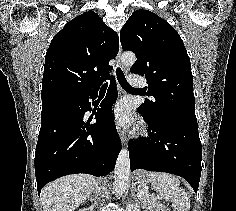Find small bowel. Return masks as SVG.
<instances>
[{
    "label": "small bowel",
    "mask_w": 236,
    "mask_h": 211,
    "mask_svg": "<svg viewBox=\"0 0 236 211\" xmlns=\"http://www.w3.org/2000/svg\"><path fill=\"white\" fill-rule=\"evenodd\" d=\"M148 211H166L164 206L161 203H155L151 209Z\"/></svg>",
    "instance_id": "small-bowel-1"
}]
</instances>
